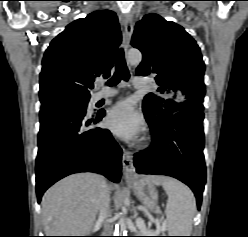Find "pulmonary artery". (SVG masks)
<instances>
[{
    "instance_id": "obj_1",
    "label": "pulmonary artery",
    "mask_w": 248,
    "mask_h": 237,
    "mask_svg": "<svg viewBox=\"0 0 248 237\" xmlns=\"http://www.w3.org/2000/svg\"><path fill=\"white\" fill-rule=\"evenodd\" d=\"M133 83L136 89H142L147 87V81L142 77H135ZM115 95L116 91L99 92L94 96V101L97 102L101 100H106L114 97Z\"/></svg>"
}]
</instances>
